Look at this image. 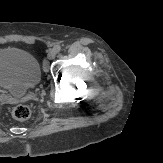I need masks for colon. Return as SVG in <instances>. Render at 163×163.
<instances>
[{"label":"colon","instance_id":"obj_1","mask_svg":"<svg viewBox=\"0 0 163 163\" xmlns=\"http://www.w3.org/2000/svg\"><path fill=\"white\" fill-rule=\"evenodd\" d=\"M12 115L17 120H27L31 115V110L26 105H17L13 108Z\"/></svg>","mask_w":163,"mask_h":163}]
</instances>
